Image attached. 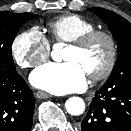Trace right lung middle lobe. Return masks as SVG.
I'll return each instance as SVG.
<instances>
[{
	"label": "right lung middle lobe",
	"instance_id": "dd1d6c3e",
	"mask_svg": "<svg viewBox=\"0 0 131 131\" xmlns=\"http://www.w3.org/2000/svg\"><path fill=\"white\" fill-rule=\"evenodd\" d=\"M35 17L31 13L0 12V68L15 70L12 43L21 26Z\"/></svg>",
	"mask_w": 131,
	"mask_h": 131
}]
</instances>
